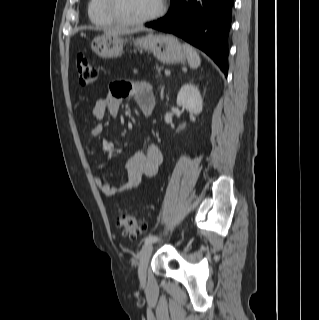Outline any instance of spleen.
I'll return each mask as SVG.
<instances>
[{"mask_svg": "<svg viewBox=\"0 0 319 320\" xmlns=\"http://www.w3.org/2000/svg\"><path fill=\"white\" fill-rule=\"evenodd\" d=\"M183 49L186 54L189 66L193 69L198 68L201 64V59L197 51L187 43L183 44Z\"/></svg>", "mask_w": 319, "mask_h": 320, "instance_id": "1", "label": "spleen"}]
</instances>
